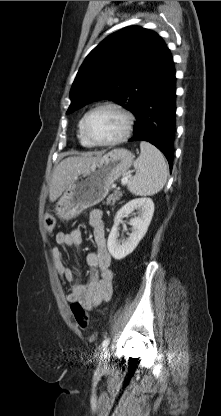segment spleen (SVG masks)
<instances>
[{
	"label": "spleen",
	"mask_w": 221,
	"mask_h": 416,
	"mask_svg": "<svg viewBox=\"0 0 221 416\" xmlns=\"http://www.w3.org/2000/svg\"><path fill=\"white\" fill-rule=\"evenodd\" d=\"M140 150L134 162L136 174L128 181L127 188L134 195H154L167 181V164L163 154L149 142L141 141Z\"/></svg>",
	"instance_id": "1"
}]
</instances>
